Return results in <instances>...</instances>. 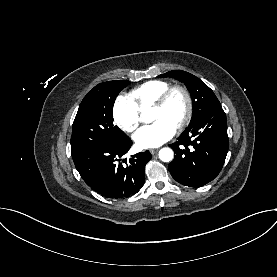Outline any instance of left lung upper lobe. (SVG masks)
Instances as JSON below:
<instances>
[{
    "label": "left lung upper lobe",
    "instance_id": "1",
    "mask_svg": "<svg viewBox=\"0 0 277 277\" xmlns=\"http://www.w3.org/2000/svg\"><path fill=\"white\" fill-rule=\"evenodd\" d=\"M158 77L176 78L187 86L193 100V114L189 126L198 121L200 117L210 110L221 107L213 91L202 80L188 72L173 70L161 74Z\"/></svg>",
    "mask_w": 277,
    "mask_h": 277
}]
</instances>
